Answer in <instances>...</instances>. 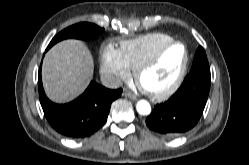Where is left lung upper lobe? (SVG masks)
Instances as JSON below:
<instances>
[{
    "mask_svg": "<svg viewBox=\"0 0 249 165\" xmlns=\"http://www.w3.org/2000/svg\"><path fill=\"white\" fill-rule=\"evenodd\" d=\"M205 71L210 72L206 53L202 47H199L194 56L193 65L191 71Z\"/></svg>",
    "mask_w": 249,
    "mask_h": 165,
    "instance_id": "left-lung-upper-lobe-1",
    "label": "left lung upper lobe"
}]
</instances>
